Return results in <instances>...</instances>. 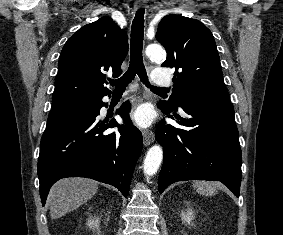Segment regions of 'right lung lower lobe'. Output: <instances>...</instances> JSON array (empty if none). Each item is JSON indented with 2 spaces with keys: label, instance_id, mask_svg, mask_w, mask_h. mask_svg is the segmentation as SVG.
Instances as JSON below:
<instances>
[{
  "label": "right lung lower lobe",
  "instance_id": "obj_1",
  "mask_svg": "<svg viewBox=\"0 0 283 235\" xmlns=\"http://www.w3.org/2000/svg\"><path fill=\"white\" fill-rule=\"evenodd\" d=\"M103 97L82 116L52 129H46L40 142L38 177L42 205L50 187L64 177H87L116 187L128 195L135 164L140 156L141 132L128 118L130 104L124 103L117 113L126 125L100 120ZM119 127L118 132L104 133Z\"/></svg>",
  "mask_w": 283,
  "mask_h": 235
}]
</instances>
